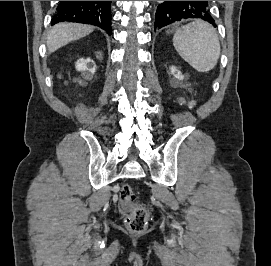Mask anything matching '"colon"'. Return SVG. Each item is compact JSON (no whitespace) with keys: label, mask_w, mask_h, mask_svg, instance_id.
Returning <instances> with one entry per match:
<instances>
[{"label":"colon","mask_w":271,"mask_h":266,"mask_svg":"<svg viewBox=\"0 0 271 266\" xmlns=\"http://www.w3.org/2000/svg\"><path fill=\"white\" fill-rule=\"evenodd\" d=\"M120 198L125 205L131 208L130 214L125 220L128 229L135 234L144 233L147 228L148 214L141 205L135 203L136 195L129 184L122 187Z\"/></svg>","instance_id":"1"}]
</instances>
